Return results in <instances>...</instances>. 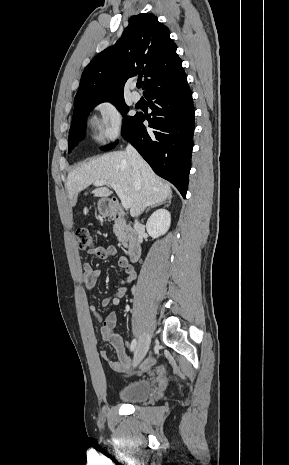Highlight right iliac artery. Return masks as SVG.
Segmentation results:
<instances>
[{
    "label": "right iliac artery",
    "instance_id": "82829eb1",
    "mask_svg": "<svg viewBox=\"0 0 289 465\" xmlns=\"http://www.w3.org/2000/svg\"><path fill=\"white\" fill-rule=\"evenodd\" d=\"M136 344H137L136 339H133L132 342H131V346H130L131 351H133L135 349Z\"/></svg>",
    "mask_w": 289,
    "mask_h": 465
}]
</instances>
